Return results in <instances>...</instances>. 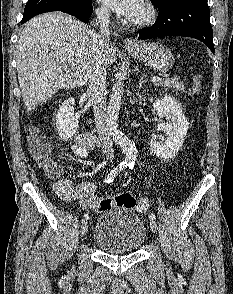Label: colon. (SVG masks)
Wrapping results in <instances>:
<instances>
[{
    "label": "colon",
    "mask_w": 233,
    "mask_h": 294,
    "mask_svg": "<svg viewBox=\"0 0 233 294\" xmlns=\"http://www.w3.org/2000/svg\"><path fill=\"white\" fill-rule=\"evenodd\" d=\"M193 90L194 92L200 90V78L198 76L194 77ZM30 134L29 147L31 154L41 162L43 167L52 176H57L60 173V169L49 159L50 146L37 137L35 128L31 130ZM91 207L99 211L108 210L113 207H125L129 209L136 208L140 212H145L148 210V202L145 199H142L137 203L131 194L122 193L110 199L93 200L91 202Z\"/></svg>",
    "instance_id": "5ec220e1"
}]
</instances>
